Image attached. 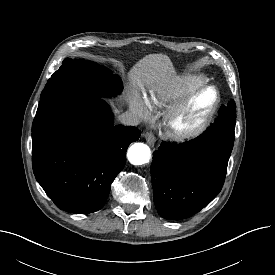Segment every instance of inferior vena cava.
<instances>
[{"label":"inferior vena cava","instance_id":"1","mask_svg":"<svg viewBox=\"0 0 275 275\" xmlns=\"http://www.w3.org/2000/svg\"><path fill=\"white\" fill-rule=\"evenodd\" d=\"M119 121L126 126H137L141 122L137 114L128 111L119 116Z\"/></svg>","mask_w":275,"mask_h":275}]
</instances>
